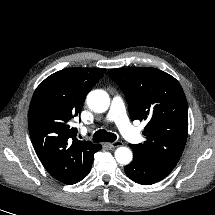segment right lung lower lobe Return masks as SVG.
Listing matches in <instances>:
<instances>
[{"label":"right lung lower lobe","instance_id":"obj_1","mask_svg":"<svg viewBox=\"0 0 215 215\" xmlns=\"http://www.w3.org/2000/svg\"><path fill=\"white\" fill-rule=\"evenodd\" d=\"M99 149H101V145H99L98 150H99ZM98 150H97V151H98ZM89 171H90V170H89ZM89 171H88V173H89ZM88 173H87V174H88ZM87 174H86V175H87ZM86 175H85V176H86Z\"/></svg>","mask_w":215,"mask_h":215}]
</instances>
